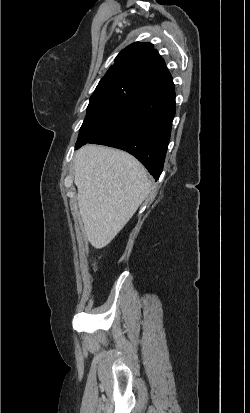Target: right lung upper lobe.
Returning a JSON list of instances; mask_svg holds the SVG:
<instances>
[{"label":"right lung upper lobe","mask_w":250,"mask_h":413,"mask_svg":"<svg viewBox=\"0 0 250 413\" xmlns=\"http://www.w3.org/2000/svg\"><path fill=\"white\" fill-rule=\"evenodd\" d=\"M119 88L140 96L174 88L171 74L151 43L135 42L116 57L96 89Z\"/></svg>","instance_id":"1"}]
</instances>
